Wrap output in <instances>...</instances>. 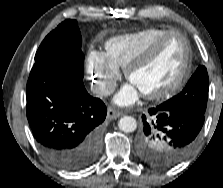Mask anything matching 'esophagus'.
Masks as SVG:
<instances>
[{"mask_svg": "<svg viewBox=\"0 0 223 188\" xmlns=\"http://www.w3.org/2000/svg\"><path fill=\"white\" fill-rule=\"evenodd\" d=\"M122 114L116 110H113L112 108H108L107 110V118L110 119V120H113V119H117L121 116Z\"/></svg>", "mask_w": 223, "mask_h": 188, "instance_id": "obj_1", "label": "esophagus"}]
</instances>
